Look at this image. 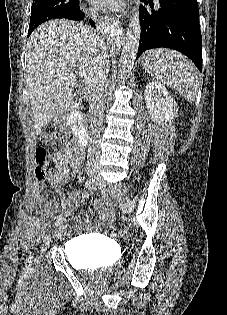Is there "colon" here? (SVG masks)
I'll return each instance as SVG.
<instances>
[{"label": "colon", "instance_id": "5ec220e1", "mask_svg": "<svg viewBox=\"0 0 227 315\" xmlns=\"http://www.w3.org/2000/svg\"><path fill=\"white\" fill-rule=\"evenodd\" d=\"M68 139L69 132L64 124H51L42 137V143L49 149L60 151L66 147ZM35 160L34 177L37 181H44L49 173L48 155L45 148H39L36 151ZM108 224L113 231L119 230L118 219H109Z\"/></svg>", "mask_w": 227, "mask_h": 315}]
</instances>
